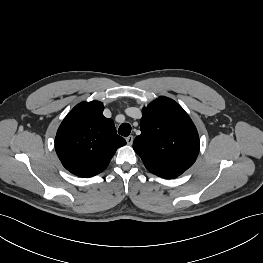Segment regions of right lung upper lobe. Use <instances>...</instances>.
Segmentation results:
<instances>
[{"instance_id":"cb5924a9","label":"right lung upper lobe","mask_w":263,"mask_h":263,"mask_svg":"<svg viewBox=\"0 0 263 263\" xmlns=\"http://www.w3.org/2000/svg\"><path fill=\"white\" fill-rule=\"evenodd\" d=\"M99 101L80 103L61 123L55 138L56 153L63 166L81 177L105 170L126 141L116 133L114 122L103 116Z\"/></svg>"}]
</instances>
